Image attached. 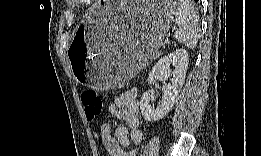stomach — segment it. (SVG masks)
<instances>
[{"label":"stomach","mask_w":261,"mask_h":156,"mask_svg":"<svg viewBox=\"0 0 261 156\" xmlns=\"http://www.w3.org/2000/svg\"><path fill=\"white\" fill-rule=\"evenodd\" d=\"M171 14L166 2L96 5L76 29L68 51L76 81L100 90L129 81L162 44Z\"/></svg>","instance_id":"1"}]
</instances>
